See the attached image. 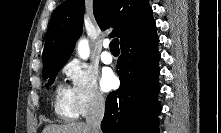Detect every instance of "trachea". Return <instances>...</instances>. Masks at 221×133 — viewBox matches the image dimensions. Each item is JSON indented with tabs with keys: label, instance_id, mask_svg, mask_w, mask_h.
Instances as JSON below:
<instances>
[{
	"label": "trachea",
	"instance_id": "trachea-1",
	"mask_svg": "<svg viewBox=\"0 0 221 133\" xmlns=\"http://www.w3.org/2000/svg\"><path fill=\"white\" fill-rule=\"evenodd\" d=\"M110 51H111V52H120V49H119V40H118V39H113V40L110 42Z\"/></svg>",
	"mask_w": 221,
	"mask_h": 133
}]
</instances>
